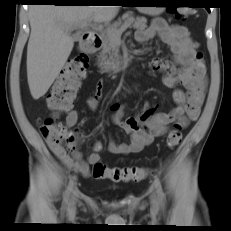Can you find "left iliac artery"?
<instances>
[{"label":"left iliac artery","mask_w":231,"mask_h":231,"mask_svg":"<svg viewBox=\"0 0 231 231\" xmlns=\"http://www.w3.org/2000/svg\"><path fill=\"white\" fill-rule=\"evenodd\" d=\"M154 184H155V187L157 189L159 199L163 202L164 201V193H163V190H162L160 180L157 177H155Z\"/></svg>","instance_id":"left-iliac-artery-1"}]
</instances>
